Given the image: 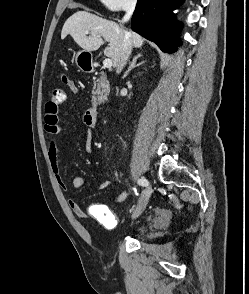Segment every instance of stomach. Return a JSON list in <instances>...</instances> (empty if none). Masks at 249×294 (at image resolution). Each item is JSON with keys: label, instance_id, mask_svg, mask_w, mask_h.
I'll return each mask as SVG.
<instances>
[{"label": "stomach", "instance_id": "obj_1", "mask_svg": "<svg viewBox=\"0 0 249 294\" xmlns=\"http://www.w3.org/2000/svg\"><path fill=\"white\" fill-rule=\"evenodd\" d=\"M92 60L91 54L89 52L86 51H79L76 54V64L78 65V67H80L82 69V67L88 63L90 64Z\"/></svg>", "mask_w": 249, "mask_h": 294}]
</instances>
